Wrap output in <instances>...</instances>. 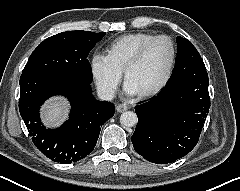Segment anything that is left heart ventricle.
Segmentation results:
<instances>
[{"label": "left heart ventricle", "instance_id": "1", "mask_svg": "<svg viewBox=\"0 0 240 191\" xmlns=\"http://www.w3.org/2000/svg\"><path fill=\"white\" fill-rule=\"evenodd\" d=\"M171 57L170 45L165 40L154 42L147 50L142 61L132 68L129 80L139 92L156 86L164 77Z\"/></svg>", "mask_w": 240, "mask_h": 191}]
</instances>
